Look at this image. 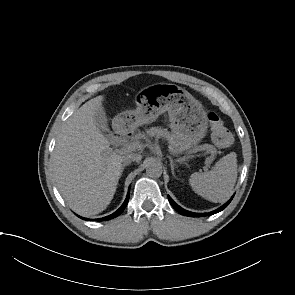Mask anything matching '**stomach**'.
Instances as JSON below:
<instances>
[{
  "label": "stomach",
  "instance_id": "0dacf381",
  "mask_svg": "<svg viewBox=\"0 0 295 295\" xmlns=\"http://www.w3.org/2000/svg\"><path fill=\"white\" fill-rule=\"evenodd\" d=\"M137 108L121 113L117 120L136 128L155 121L168 112L170 128L183 150L193 147L207 131L206 112L197 99L185 89L169 83H158L144 88L136 96Z\"/></svg>",
  "mask_w": 295,
  "mask_h": 295
}]
</instances>
